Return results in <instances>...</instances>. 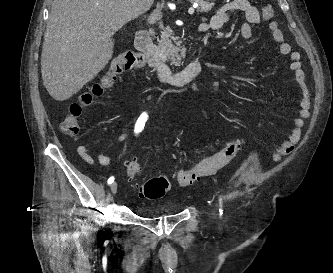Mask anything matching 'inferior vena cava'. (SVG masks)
I'll use <instances>...</instances> for the list:
<instances>
[{
  "label": "inferior vena cava",
  "mask_w": 333,
  "mask_h": 273,
  "mask_svg": "<svg viewBox=\"0 0 333 273\" xmlns=\"http://www.w3.org/2000/svg\"><path fill=\"white\" fill-rule=\"evenodd\" d=\"M143 8L142 0H132L131 2V9L141 15V11Z\"/></svg>",
  "instance_id": "1"
}]
</instances>
